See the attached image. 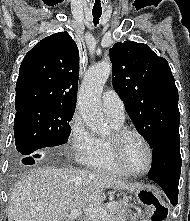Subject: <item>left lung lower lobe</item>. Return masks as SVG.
<instances>
[{"label": "left lung lower lobe", "instance_id": "left-lung-lower-lobe-1", "mask_svg": "<svg viewBox=\"0 0 190 221\" xmlns=\"http://www.w3.org/2000/svg\"><path fill=\"white\" fill-rule=\"evenodd\" d=\"M152 150V165L148 177L163 188L175 206L178 203L181 173L180 136L164 138Z\"/></svg>", "mask_w": 190, "mask_h": 221}]
</instances>
